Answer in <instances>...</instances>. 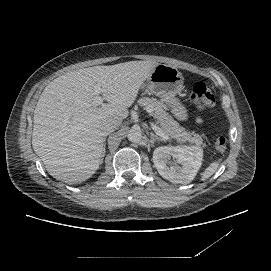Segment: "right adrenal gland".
<instances>
[{
    "label": "right adrenal gland",
    "instance_id": "right-adrenal-gland-1",
    "mask_svg": "<svg viewBox=\"0 0 271 271\" xmlns=\"http://www.w3.org/2000/svg\"><path fill=\"white\" fill-rule=\"evenodd\" d=\"M106 140H107V137L105 136L104 141H103V149H104V151L106 150Z\"/></svg>",
    "mask_w": 271,
    "mask_h": 271
}]
</instances>
